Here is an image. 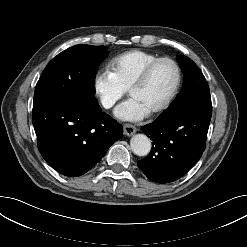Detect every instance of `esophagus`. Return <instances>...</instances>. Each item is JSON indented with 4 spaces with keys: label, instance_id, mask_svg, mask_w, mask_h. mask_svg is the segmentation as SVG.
Returning <instances> with one entry per match:
<instances>
[{
    "label": "esophagus",
    "instance_id": "esophagus-1",
    "mask_svg": "<svg viewBox=\"0 0 247 247\" xmlns=\"http://www.w3.org/2000/svg\"><path fill=\"white\" fill-rule=\"evenodd\" d=\"M124 134L127 136H132L136 131V127L132 124H124L123 126Z\"/></svg>",
    "mask_w": 247,
    "mask_h": 247
}]
</instances>
